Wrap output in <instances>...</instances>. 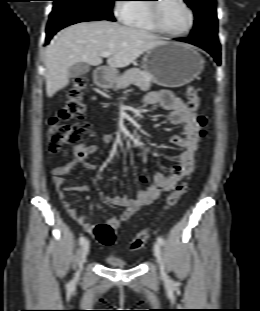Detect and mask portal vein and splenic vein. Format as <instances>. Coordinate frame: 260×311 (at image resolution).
Masks as SVG:
<instances>
[{
  "label": "portal vein and splenic vein",
  "mask_w": 260,
  "mask_h": 311,
  "mask_svg": "<svg viewBox=\"0 0 260 311\" xmlns=\"http://www.w3.org/2000/svg\"><path fill=\"white\" fill-rule=\"evenodd\" d=\"M110 56H111V53H110V52H104V53L102 54V57H105V58L110 57Z\"/></svg>",
  "instance_id": "1"
}]
</instances>
